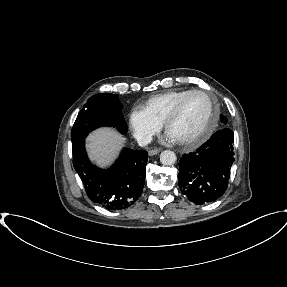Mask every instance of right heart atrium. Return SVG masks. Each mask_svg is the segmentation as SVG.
Returning a JSON list of instances; mask_svg holds the SVG:
<instances>
[{"instance_id":"d8ad5b80","label":"right heart atrium","mask_w":287,"mask_h":287,"mask_svg":"<svg viewBox=\"0 0 287 287\" xmlns=\"http://www.w3.org/2000/svg\"><path fill=\"white\" fill-rule=\"evenodd\" d=\"M128 122L134 137L143 144L149 143L161 128L160 124L150 119L139 108L129 113Z\"/></svg>"}]
</instances>
